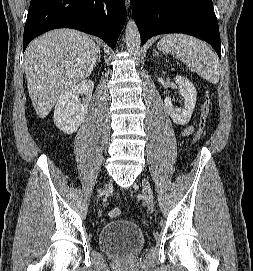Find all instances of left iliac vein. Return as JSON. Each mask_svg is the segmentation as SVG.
Here are the masks:
<instances>
[{"label":"left iliac vein","mask_w":253,"mask_h":271,"mask_svg":"<svg viewBox=\"0 0 253 271\" xmlns=\"http://www.w3.org/2000/svg\"><path fill=\"white\" fill-rule=\"evenodd\" d=\"M142 193L144 196L145 203L147 204L148 208L152 211L153 210V195L149 181L144 178L142 180Z\"/></svg>","instance_id":"obj_1"}]
</instances>
